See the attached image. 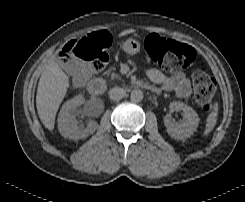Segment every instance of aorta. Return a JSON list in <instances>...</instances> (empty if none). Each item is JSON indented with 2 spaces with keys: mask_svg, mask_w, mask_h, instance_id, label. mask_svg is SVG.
I'll return each instance as SVG.
<instances>
[{
  "mask_svg": "<svg viewBox=\"0 0 245 202\" xmlns=\"http://www.w3.org/2000/svg\"><path fill=\"white\" fill-rule=\"evenodd\" d=\"M130 98L133 102H140L143 99V92L139 89L132 90Z\"/></svg>",
  "mask_w": 245,
  "mask_h": 202,
  "instance_id": "762f6f07",
  "label": "aorta"
}]
</instances>
